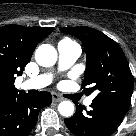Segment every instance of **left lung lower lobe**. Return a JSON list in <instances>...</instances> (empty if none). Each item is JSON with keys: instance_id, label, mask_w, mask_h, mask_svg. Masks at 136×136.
<instances>
[{"instance_id": "obj_1", "label": "left lung lower lobe", "mask_w": 136, "mask_h": 136, "mask_svg": "<svg viewBox=\"0 0 136 136\" xmlns=\"http://www.w3.org/2000/svg\"><path fill=\"white\" fill-rule=\"evenodd\" d=\"M90 106L91 110L87 111L77 105L75 114L65 119L66 126L77 136H109L128 110L121 105L96 100Z\"/></svg>"}]
</instances>
